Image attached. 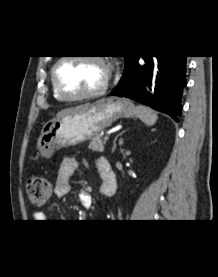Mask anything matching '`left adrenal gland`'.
I'll return each mask as SVG.
<instances>
[{
	"mask_svg": "<svg viewBox=\"0 0 218 277\" xmlns=\"http://www.w3.org/2000/svg\"><path fill=\"white\" fill-rule=\"evenodd\" d=\"M121 136V135H120ZM118 137L119 136H117L116 138H115V140L113 141V148H112V153L115 151V149H116V141H117V139H118ZM122 144V141H120V145Z\"/></svg>",
	"mask_w": 218,
	"mask_h": 277,
	"instance_id": "a2214340",
	"label": "left adrenal gland"
}]
</instances>
